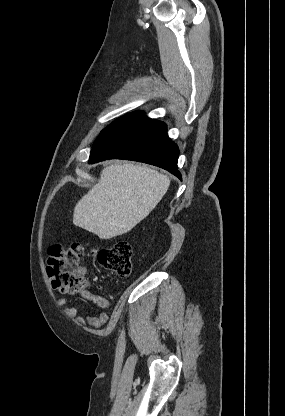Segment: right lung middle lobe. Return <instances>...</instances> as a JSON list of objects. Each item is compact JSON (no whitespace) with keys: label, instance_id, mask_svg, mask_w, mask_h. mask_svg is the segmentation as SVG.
Returning a JSON list of instances; mask_svg holds the SVG:
<instances>
[{"label":"right lung middle lobe","instance_id":"obj_1","mask_svg":"<svg viewBox=\"0 0 285 416\" xmlns=\"http://www.w3.org/2000/svg\"><path fill=\"white\" fill-rule=\"evenodd\" d=\"M146 118L147 116L144 115V112L137 111V112L126 114L116 119L109 126H107L105 129L101 131L99 137L96 139L95 143L93 144V147L103 142L104 140L108 139L109 137L115 135L116 133L124 130L125 128L130 127Z\"/></svg>","mask_w":285,"mask_h":416}]
</instances>
